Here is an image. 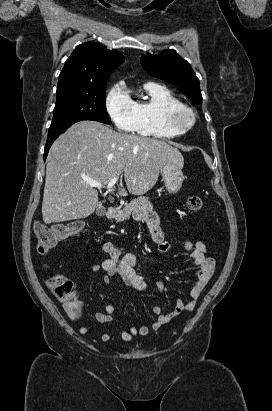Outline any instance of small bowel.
I'll return each mask as SVG.
<instances>
[{
  "label": "small bowel",
  "mask_w": 272,
  "mask_h": 411,
  "mask_svg": "<svg viewBox=\"0 0 272 411\" xmlns=\"http://www.w3.org/2000/svg\"><path fill=\"white\" fill-rule=\"evenodd\" d=\"M136 218L146 223L159 253H167L173 247L171 243L165 240L164 233L159 225V220L151 210H139L136 213ZM179 247L190 254L193 264L197 268L195 272L196 280L190 290L191 299L187 303L178 299L175 308L169 313H163L162 305H154L152 312L156 315V319L151 327L149 328L146 325L139 327L131 326L120 332V337L123 341L131 342L136 336H146L149 334L150 329L157 331L170 323L182 311H192L195 308L197 300L200 298L214 273L216 262L212 257H207V247L202 241L193 242L186 240L181 242ZM102 249L104 253L107 254V258L100 265L93 264L89 266L87 268L89 272H104L103 282L106 284H109L113 277L118 276L125 285L137 291L145 290L146 283L137 271V258L135 255L123 254L122 250L110 241L104 242ZM157 286L161 291L165 289V284L162 281H159ZM114 311V306L108 304L103 312H96L93 314V317L97 322L110 323L115 319ZM79 333L81 335H87L90 333V329L88 327H80ZM101 340L104 342L110 341L111 335L109 333H103Z\"/></svg>",
  "instance_id": "1"
}]
</instances>
